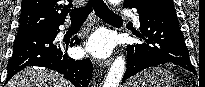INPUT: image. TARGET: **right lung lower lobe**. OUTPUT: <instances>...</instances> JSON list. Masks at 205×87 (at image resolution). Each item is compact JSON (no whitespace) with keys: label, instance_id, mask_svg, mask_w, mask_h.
Masks as SVG:
<instances>
[{"label":"right lung lower lobe","instance_id":"right-lung-lower-lobe-1","mask_svg":"<svg viewBox=\"0 0 205 87\" xmlns=\"http://www.w3.org/2000/svg\"><path fill=\"white\" fill-rule=\"evenodd\" d=\"M60 32L59 26L37 29L18 33L13 49V55L8 62V74L5 84L19 71L28 66H39L53 69L63 74L75 87H88L92 63L89 58L75 61L61 44L55 42ZM75 42L73 43V41ZM80 43L75 36L70 45ZM68 46V43H66Z\"/></svg>","mask_w":205,"mask_h":87}]
</instances>
